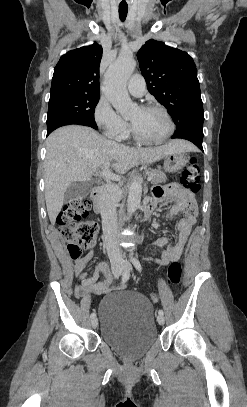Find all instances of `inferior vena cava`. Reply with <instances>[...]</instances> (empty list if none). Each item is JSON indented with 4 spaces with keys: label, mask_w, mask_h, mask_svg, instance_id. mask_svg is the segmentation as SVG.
I'll use <instances>...</instances> for the list:
<instances>
[{
    "label": "inferior vena cava",
    "mask_w": 247,
    "mask_h": 407,
    "mask_svg": "<svg viewBox=\"0 0 247 407\" xmlns=\"http://www.w3.org/2000/svg\"><path fill=\"white\" fill-rule=\"evenodd\" d=\"M118 186L108 183L102 187L100 195V210L102 230L107 253L112 264H122L123 257L117 240Z\"/></svg>",
    "instance_id": "1"
}]
</instances>
